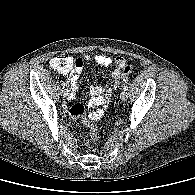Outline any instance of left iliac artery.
Wrapping results in <instances>:
<instances>
[{"instance_id":"left-iliac-artery-1","label":"left iliac artery","mask_w":195,"mask_h":195,"mask_svg":"<svg viewBox=\"0 0 195 195\" xmlns=\"http://www.w3.org/2000/svg\"><path fill=\"white\" fill-rule=\"evenodd\" d=\"M123 89H124V91H127L128 90L127 85H125Z\"/></svg>"}]
</instances>
